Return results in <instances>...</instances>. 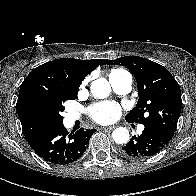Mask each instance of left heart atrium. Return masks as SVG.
<instances>
[{
  "label": "left heart atrium",
  "mask_w": 196,
  "mask_h": 196,
  "mask_svg": "<svg viewBox=\"0 0 196 196\" xmlns=\"http://www.w3.org/2000/svg\"><path fill=\"white\" fill-rule=\"evenodd\" d=\"M90 117L97 123L107 124L113 122L120 115V107L112 101L99 102L89 107Z\"/></svg>",
  "instance_id": "left-heart-atrium-1"
}]
</instances>
